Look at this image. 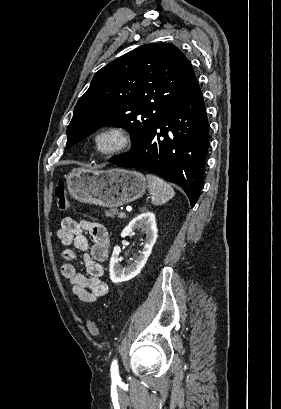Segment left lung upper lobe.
I'll return each instance as SVG.
<instances>
[{
    "mask_svg": "<svg viewBox=\"0 0 281 409\" xmlns=\"http://www.w3.org/2000/svg\"><path fill=\"white\" fill-rule=\"evenodd\" d=\"M195 80L189 60L169 43L146 44L115 59L77 102L66 148L106 125L125 128L134 147Z\"/></svg>",
    "mask_w": 281,
    "mask_h": 409,
    "instance_id": "obj_1",
    "label": "left lung upper lobe"
}]
</instances>
